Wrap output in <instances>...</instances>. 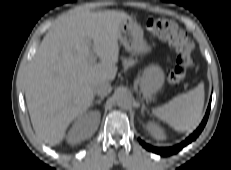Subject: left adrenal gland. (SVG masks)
<instances>
[{"label": "left adrenal gland", "mask_w": 231, "mask_h": 170, "mask_svg": "<svg viewBox=\"0 0 231 170\" xmlns=\"http://www.w3.org/2000/svg\"><path fill=\"white\" fill-rule=\"evenodd\" d=\"M147 111V113H149V111L147 110V108L145 107V104H142V108H141V113L142 115H144V112Z\"/></svg>", "instance_id": "left-adrenal-gland-1"}]
</instances>
